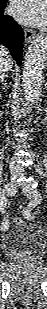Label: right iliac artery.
<instances>
[{
  "label": "right iliac artery",
  "instance_id": "right-iliac-artery-1",
  "mask_svg": "<svg viewBox=\"0 0 47 309\" xmlns=\"http://www.w3.org/2000/svg\"><path fill=\"white\" fill-rule=\"evenodd\" d=\"M5 210H6V200H5L4 196H1V199H0V211L2 213H5ZM7 225H8V222L4 219L3 222H2L1 229L5 228Z\"/></svg>",
  "mask_w": 47,
  "mask_h": 309
}]
</instances>
